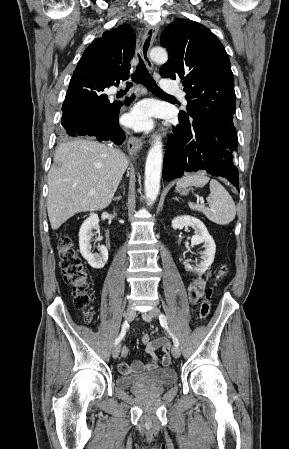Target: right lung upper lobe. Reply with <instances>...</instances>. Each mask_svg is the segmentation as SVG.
<instances>
[{
    "mask_svg": "<svg viewBox=\"0 0 289 449\" xmlns=\"http://www.w3.org/2000/svg\"><path fill=\"white\" fill-rule=\"evenodd\" d=\"M134 50L135 34L130 25L105 31L85 49L72 77L106 86L118 85L129 77Z\"/></svg>",
    "mask_w": 289,
    "mask_h": 449,
    "instance_id": "cb5924a9",
    "label": "right lung upper lobe"
}]
</instances>
